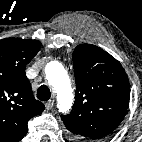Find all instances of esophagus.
I'll return each instance as SVG.
<instances>
[{
  "label": "esophagus",
  "instance_id": "obj_1",
  "mask_svg": "<svg viewBox=\"0 0 142 142\" xmlns=\"http://www.w3.org/2000/svg\"><path fill=\"white\" fill-rule=\"evenodd\" d=\"M53 105H54V101L53 100H49V101H47L45 103V107H46L47 110L52 109Z\"/></svg>",
  "mask_w": 142,
  "mask_h": 142
}]
</instances>
